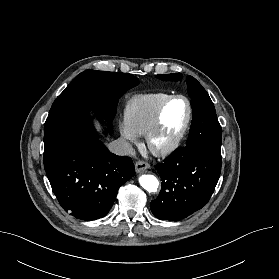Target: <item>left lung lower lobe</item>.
Segmentation results:
<instances>
[{
	"label": "left lung lower lobe",
	"mask_w": 279,
	"mask_h": 279,
	"mask_svg": "<svg viewBox=\"0 0 279 279\" xmlns=\"http://www.w3.org/2000/svg\"><path fill=\"white\" fill-rule=\"evenodd\" d=\"M221 157L181 147L156 166L162 180L151 211L161 220L177 221L201 209L210 199L221 172Z\"/></svg>",
	"instance_id": "left-lung-lower-lobe-1"
}]
</instances>
